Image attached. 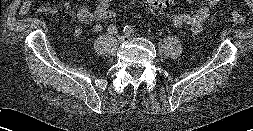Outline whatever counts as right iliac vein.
Instances as JSON below:
<instances>
[{
	"label": "right iliac vein",
	"instance_id": "63e3f726",
	"mask_svg": "<svg viewBox=\"0 0 253 131\" xmlns=\"http://www.w3.org/2000/svg\"><path fill=\"white\" fill-rule=\"evenodd\" d=\"M124 41V37L123 36H119L118 37V43H122Z\"/></svg>",
	"mask_w": 253,
	"mask_h": 131
}]
</instances>
